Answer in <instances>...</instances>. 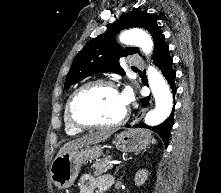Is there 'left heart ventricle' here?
<instances>
[{
	"label": "left heart ventricle",
	"mask_w": 221,
	"mask_h": 193,
	"mask_svg": "<svg viewBox=\"0 0 221 193\" xmlns=\"http://www.w3.org/2000/svg\"><path fill=\"white\" fill-rule=\"evenodd\" d=\"M120 93L106 86L86 89L77 98L74 114L82 122H114L126 111Z\"/></svg>",
	"instance_id": "1"
}]
</instances>
